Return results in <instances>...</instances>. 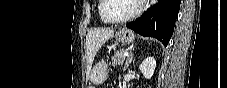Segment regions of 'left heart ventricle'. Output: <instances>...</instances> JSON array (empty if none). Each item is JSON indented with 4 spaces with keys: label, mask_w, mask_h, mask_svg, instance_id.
<instances>
[{
    "label": "left heart ventricle",
    "mask_w": 227,
    "mask_h": 88,
    "mask_svg": "<svg viewBox=\"0 0 227 88\" xmlns=\"http://www.w3.org/2000/svg\"><path fill=\"white\" fill-rule=\"evenodd\" d=\"M137 6L136 0H107L104 15L108 19H122L130 15Z\"/></svg>",
    "instance_id": "left-heart-ventricle-1"
}]
</instances>
